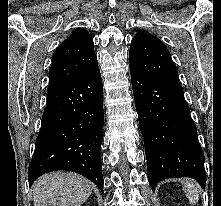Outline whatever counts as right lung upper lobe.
Wrapping results in <instances>:
<instances>
[{"instance_id": "cb5924a9", "label": "right lung upper lobe", "mask_w": 221, "mask_h": 206, "mask_svg": "<svg viewBox=\"0 0 221 206\" xmlns=\"http://www.w3.org/2000/svg\"><path fill=\"white\" fill-rule=\"evenodd\" d=\"M92 36L83 28L76 29L55 50L49 70L47 91L66 84L98 66Z\"/></svg>"}]
</instances>
